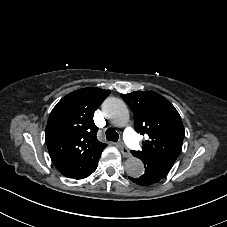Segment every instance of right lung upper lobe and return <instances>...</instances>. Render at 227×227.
<instances>
[{"instance_id": "right-lung-upper-lobe-1", "label": "right lung upper lobe", "mask_w": 227, "mask_h": 227, "mask_svg": "<svg viewBox=\"0 0 227 227\" xmlns=\"http://www.w3.org/2000/svg\"><path fill=\"white\" fill-rule=\"evenodd\" d=\"M110 92L100 88L79 89L63 97L53 108L45 140L57 169H63L80 154L87 156L88 163L101 156L107 145L97 140L98 127L93 114Z\"/></svg>"}]
</instances>
